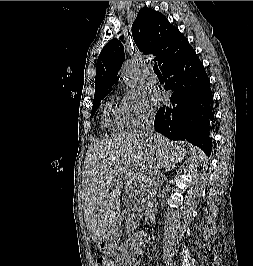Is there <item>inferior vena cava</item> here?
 <instances>
[{"instance_id": "602c4592", "label": "inferior vena cava", "mask_w": 253, "mask_h": 266, "mask_svg": "<svg viewBox=\"0 0 253 266\" xmlns=\"http://www.w3.org/2000/svg\"><path fill=\"white\" fill-rule=\"evenodd\" d=\"M153 123H154V114L148 113L143 116L142 124H141V134H143L150 142L153 140ZM157 172H155V176L151 178H147L145 180V190L142 194V201L146 202L147 210L146 213L149 215L150 219L154 221V210L152 209L153 201L156 196V187H157Z\"/></svg>"}]
</instances>
